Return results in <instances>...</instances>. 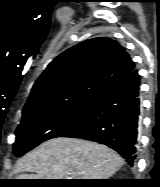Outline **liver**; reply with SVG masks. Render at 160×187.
I'll list each match as a JSON object with an SVG mask.
<instances>
[{"mask_svg": "<svg viewBox=\"0 0 160 187\" xmlns=\"http://www.w3.org/2000/svg\"><path fill=\"white\" fill-rule=\"evenodd\" d=\"M124 160L111 148L77 138L50 139L16 164L17 179H108Z\"/></svg>", "mask_w": 160, "mask_h": 187, "instance_id": "1", "label": "liver"}]
</instances>
